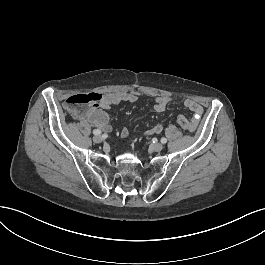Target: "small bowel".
Masks as SVG:
<instances>
[{
  "label": "small bowel",
  "instance_id": "obj_1",
  "mask_svg": "<svg viewBox=\"0 0 265 265\" xmlns=\"http://www.w3.org/2000/svg\"><path fill=\"white\" fill-rule=\"evenodd\" d=\"M140 94L137 92L127 91H114L106 93L102 99L94 105H91L85 109H82L75 113V117L82 123H89L95 127L101 129H107L108 127V114L107 112L113 105L120 103H133L138 100ZM174 101V98L166 95H158L155 97V104L153 106L154 111L157 113L163 112L167 105ZM182 104L192 112V115L187 118L191 125L189 131H194L201 119L203 114L202 105L194 99L184 98ZM183 116V115H181ZM163 129L161 124L155 125L151 129V133H160ZM121 138L125 139L129 136V130L124 127L120 131Z\"/></svg>",
  "mask_w": 265,
  "mask_h": 265
}]
</instances>
